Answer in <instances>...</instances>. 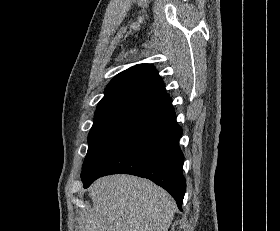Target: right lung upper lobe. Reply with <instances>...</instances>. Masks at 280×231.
<instances>
[{
	"label": "right lung upper lobe",
	"instance_id": "1",
	"mask_svg": "<svg viewBox=\"0 0 280 231\" xmlns=\"http://www.w3.org/2000/svg\"><path fill=\"white\" fill-rule=\"evenodd\" d=\"M171 110L172 99L157 70L150 64H138L116 75L107 85L95 119L140 124Z\"/></svg>",
	"mask_w": 280,
	"mask_h": 231
}]
</instances>
